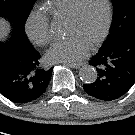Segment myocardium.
<instances>
[{
  "mask_svg": "<svg viewBox=\"0 0 135 135\" xmlns=\"http://www.w3.org/2000/svg\"><path fill=\"white\" fill-rule=\"evenodd\" d=\"M85 0H77L75 5L73 6V9L71 13L68 15L67 20H75L79 16L81 6ZM105 5H106V20H105V25L100 33V35L90 44L91 47L98 46L101 44L106 37L108 36L110 32V28L112 25V18H113V9H112V3L111 0H104Z\"/></svg>",
  "mask_w": 135,
  "mask_h": 135,
  "instance_id": "obj_1",
  "label": "myocardium"
}]
</instances>
